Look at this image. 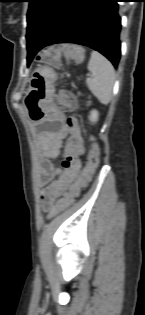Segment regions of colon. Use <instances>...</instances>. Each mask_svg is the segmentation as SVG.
<instances>
[{
  "mask_svg": "<svg viewBox=\"0 0 145 315\" xmlns=\"http://www.w3.org/2000/svg\"><path fill=\"white\" fill-rule=\"evenodd\" d=\"M66 57L74 62H80L84 57V51L76 46L49 47L42 50L39 60L48 65H58L62 58ZM76 99L72 92L60 90L55 95V103L61 109H72ZM100 163L98 148L91 145L87 157V164L78 182H76L64 196L53 206L51 216H54L69 207L79 195L80 189L89 181Z\"/></svg>",
  "mask_w": 145,
  "mask_h": 315,
  "instance_id": "colon-1",
  "label": "colon"
}]
</instances>
